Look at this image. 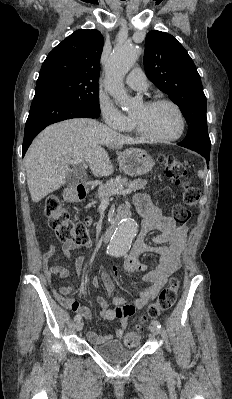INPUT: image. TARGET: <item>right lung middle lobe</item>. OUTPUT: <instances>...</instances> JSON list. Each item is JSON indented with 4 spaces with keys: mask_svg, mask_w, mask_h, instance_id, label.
Listing matches in <instances>:
<instances>
[{
    "mask_svg": "<svg viewBox=\"0 0 232 399\" xmlns=\"http://www.w3.org/2000/svg\"><path fill=\"white\" fill-rule=\"evenodd\" d=\"M55 91L89 109L100 112L98 83L56 77L37 81L36 90Z\"/></svg>",
    "mask_w": 232,
    "mask_h": 399,
    "instance_id": "right-lung-middle-lobe-1",
    "label": "right lung middle lobe"
}]
</instances>
